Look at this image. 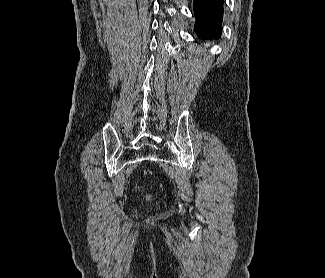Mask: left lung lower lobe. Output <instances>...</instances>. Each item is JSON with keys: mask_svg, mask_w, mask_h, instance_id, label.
<instances>
[{"mask_svg": "<svg viewBox=\"0 0 325 278\" xmlns=\"http://www.w3.org/2000/svg\"><path fill=\"white\" fill-rule=\"evenodd\" d=\"M223 0H194L197 20L195 30L199 38H219L223 15Z\"/></svg>", "mask_w": 325, "mask_h": 278, "instance_id": "0a47b994", "label": "left lung lower lobe"}]
</instances>
